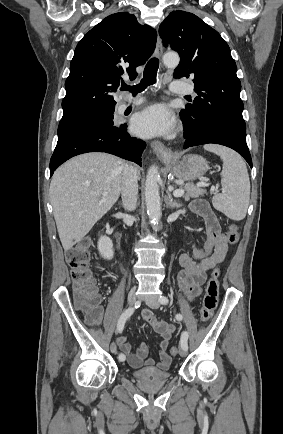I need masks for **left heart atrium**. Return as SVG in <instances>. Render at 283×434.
<instances>
[{
  "instance_id": "left-heart-atrium-1",
  "label": "left heart atrium",
  "mask_w": 283,
  "mask_h": 434,
  "mask_svg": "<svg viewBox=\"0 0 283 434\" xmlns=\"http://www.w3.org/2000/svg\"><path fill=\"white\" fill-rule=\"evenodd\" d=\"M175 128V117L163 104H154L141 111L134 119L133 130L142 137L165 136Z\"/></svg>"
}]
</instances>
